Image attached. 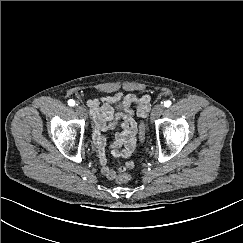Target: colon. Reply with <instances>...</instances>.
I'll use <instances>...</instances> for the list:
<instances>
[{"instance_id":"5ec220e1","label":"colon","mask_w":243,"mask_h":243,"mask_svg":"<svg viewBox=\"0 0 243 243\" xmlns=\"http://www.w3.org/2000/svg\"><path fill=\"white\" fill-rule=\"evenodd\" d=\"M139 133H140V138L144 139V135H145V125L144 123H141L139 125ZM133 167V164L131 162H127L124 164V166L122 167V173L119 174L116 178V182L118 183H127L131 180V175L127 172L128 170H130Z\"/></svg>"}]
</instances>
